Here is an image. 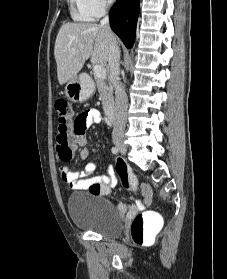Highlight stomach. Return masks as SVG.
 Returning a JSON list of instances; mask_svg holds the SVG:
<instances>
[{"mask_svg": "<svg viewBox=\"0 0 227 279\" xmlns=\"http://www.w3.org/2000/svg\"><path fill=\"white\" fill-rule=\"evenodd\" d=\"M95 90L91 81H82L78 77H73L67 81L65 95L71 102H83L93 95Z\"/></svg>", "mask_w": 227, "mask_h": 279, "instance_id": "stomach-1", "label": "stomach"}]
</instances>
